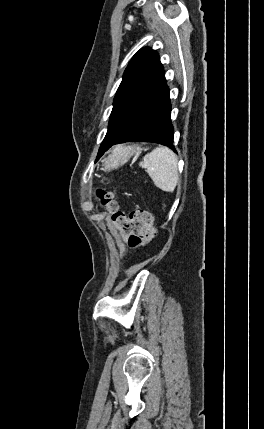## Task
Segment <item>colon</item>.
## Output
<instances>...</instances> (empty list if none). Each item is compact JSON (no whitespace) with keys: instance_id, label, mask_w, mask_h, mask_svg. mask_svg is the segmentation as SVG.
Segmentation results:
<instances>
[{"instance_id":"obj_1","label":"colon","mask_w":264,"mask_h":429,"mask_svg":"<svg viewBox=\"0 0 264 429\" xmlns=\"http://www.w3.org/2000/svg\"><path fill=\"white\" fill-rule=\"evenodd\" d=\"M96 195L101 204L111 212L112 222L115 227L130 234V247L136 248L150 242L155 234V230L153 228L152 216L148 211L134 210L126 214L118 210L111 192L98 190Z\"/></svg>"}]
</instances>
